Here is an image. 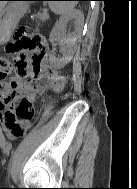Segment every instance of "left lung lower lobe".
<instances>
[{"label": "left lung lower lobe", "mask_w": 137, "mask_h": 189, "mask_svg": "<svg viewBox=\"0 0 137 189\" xmlns=\"http://www.w3.org/2000/svg\"><path fill=\"white\" fill-rule=\"evenodd\" d=\"M76 1H89V0H76Z\"/></svg>", "instance_id": "1"}]
</instances>
